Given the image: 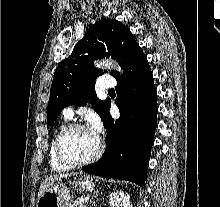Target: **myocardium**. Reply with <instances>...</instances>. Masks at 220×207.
Listing matches in <instances>:
<instances>
[{"mask_svg":"<svg viewBox=\"0 0 220 207\" xmlns=\"http://www.w3.org/2000/svg\"><path fill=\"white\" fill-rule=\"evenodd\" d=\"M77 129H88V127L85 126L84 124L78 123V122L70 123V124H67L66 126H64L55 138L54 152H55L56 159L58 160V162L60 164H62L63 166H65L67 168H78V167H83V166L89 165V164L95 162L96 160H98L104 151V143L102 142V140L100 138H98L97 150L95 151V153L91 157H89L86 160L79 161V162H72V161L67 160L62 153V147H61L62 141L68 133H70L74 130H77Z\"/></svg>","mask_w":220,"mask_h":207,"instance_id":"1","label":"myocardium"}]
</instances>
